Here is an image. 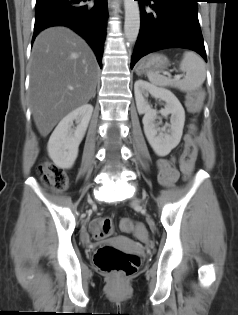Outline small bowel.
I'll return each instance as SVG.
<instances>
[{"label": "small bowel", "mask_w": 238, "mask_h": 315, "mask_svg": "<svg viewBox=\"0 0 238 315\" xmlns=\"http://www.w3.org/2000/svg\"><path fill=\"white\" fill-rule=\"evenodd\" d=\"M178 178L179 172L173 160L162 159L158 162V181L162 186L172 187Z\"/></svg>", "instance_id": "small-bowel-1"}]
</instances>
